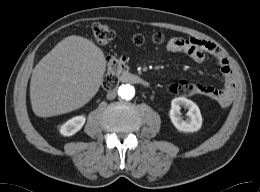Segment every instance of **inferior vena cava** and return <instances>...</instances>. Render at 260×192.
I'll return each mask as SVG.
<instances>
[{
  "instance_id": "602c4592",
  "label": "inferior vena cava",
  "mask_w": 260,
  "mask_h": 192,
  "mask_svg": "<svg viewBox=\"0 0 260 192\" xmlns=\"http://www.w3.org/2000/svg\"><path fill=\"white\" fill-rule=\"evenodd\" d=\"M116 91L115 90H112V91H109L108 93H107V99H109V100H112V99H114L115 97H116Z\"/></svg>"
}]
</instances>
